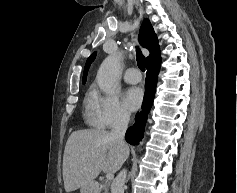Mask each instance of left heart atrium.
<instances>
[{
  "instance_id": "39dd6f15",
  "label": "left heart atrium",
  "mask_w": 237,
  "mask_h": 193,
  "mask_svg": "<svg viewBox=\"0 0 237 193\" xmlns=\"http://www.w3.org/2000/svg\"><path fill=\"white\" fill-rule=\"evenodd\" d=\"M143 102V91L139 87H131L124 94V103L130 110L138 109Z\"/></svg>"
}]
</instances>
